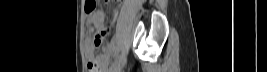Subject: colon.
Returning <instances> with one entry per match:
<instances>
[{
	"label": "colon",
	"instance_id": "obj_1",
	"mask_svg": "<svg viewBox=\"0 0 267 72\" xmlns=\"http://www.w3.org/2000/svg\"><path fill=\"white\" fill-rule=\"evenodd\" d=\"M96 5H97V2L95 0L90 1L88 4V7H87V11L90 13L93 12L94 9L96 8ZM104 37L105 36L103 35L102 32L96 31V33L94 35V43L96 45H100L102 43ZM95 67H96L95 64L90 65V72H94Z\"/></svg>",
	"mask_w": 267,
	"mask_h": 72
}]
</instances>
